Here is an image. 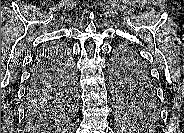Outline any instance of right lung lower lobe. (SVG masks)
I'll use <instances>...</instances> for the list:
<instances>
[{
  "mask_svg": "<svg viewBox=\"0 0 184 133\" xmlns=\"http://www.w3.org/2000/svg\"><path fill=\"white\" fill-rule=\"evenodd\" d=\"M48 51L50 50H41L33 60L30 81L26 92L27 96L32 97L35 93L43 92L47 86L51 84L52 74L50 68L57 63V60L55 59L56 56L53 54L42 56L44 52ZM62 52L67 56V53L64 51Z\"/></svg>",
  "mask_w": 184,
  "mask_h": 133,
  "instance_id": "obj_1",
  "label": "right lung lower lobe"
}]
</instances>
